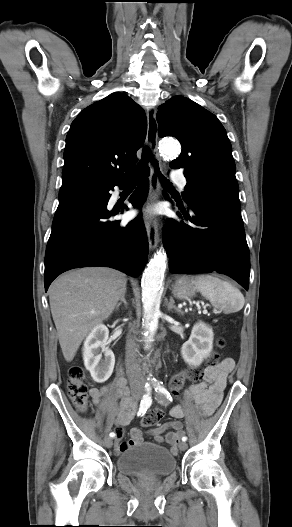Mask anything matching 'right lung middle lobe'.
Wrapping results in <instances>:
<instances>
[{
	"label": "right lung middle lobe",
	"instance_id": "dd1d6c3e",
	"mask_svg": "<svg viewBox=\"0 0 292 527\" xmlns=\"http://www.w3.org/2000/svg\"><path fill=\"white\" fill-rule=\"evenodd\" d=\"M67 186H87V187H99V188H102V187H106L107 185H103V184H100V183H97V182H94V181H90V180L77 179V180H72V181H68V182H63L62 183V187H67Z\"/></svg>",
	"mask_w": 292,
	"mask_h": 527
}]
</instances>
